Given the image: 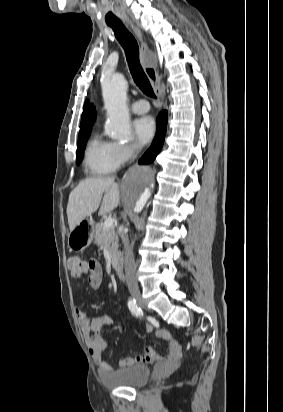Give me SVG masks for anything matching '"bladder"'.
<instances>
[{
  "label": "bladder",
  "instance_id": "31cf9c89",
  "mask_svg": "<svg viewBox=\"0 0 283 412\" xmlns=\"http://www.w3.org/2000/svg\"><path fill=\"white\" fill-rule=\"evenodd\" d=\"M149 377L150 368L148 366L134 365L111 370L102 375V380L110 388L140 387L148 382Z\"/></svg>",
  "mask_w": 283,
  "mask_h": 412
}]
</instances>
